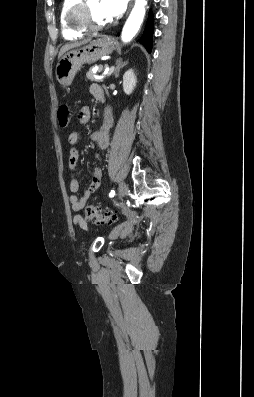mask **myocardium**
Listing matches in <instances>:
<instances>
[{"instance_id":"1","label":"myocardium","mask_w":254,"mask_h":397,"mask_svg":"<svg viewBox=\"0 0 254 397\" xmlns=\"http://www.w3.org/2000/svg\"><path fill=\"white\" fill-rule=\"evenodd\" d=\"M68 21L73 28L84 32H96L108 26V23L96 24L91 20L88 0H79L70 8Z\"/></svg>"}]
</instances>
